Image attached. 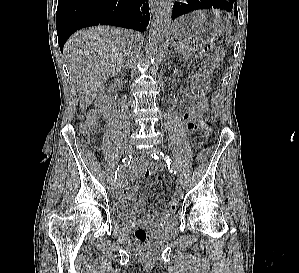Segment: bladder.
Segmentation results:
<instances>
[{
	"label": "bladder",
	"mask_w": 299,
	"mask_h": 273,
	"mask_svg": "<svg viewBox=\"0 0 299 273\" xmlns=\"http://www.w3.org/2000/svg\"><path fill=\"white\" fill-rule=\"evenodd\" d=\"M136 219V216L131 214H124L118 210L113 211V223L119 227H126L132 222H134ZM164 223L167 225H174L175 224V218L173 216L164 219Z\"/></svg>",
	"instance_id": "1"
}]
</instances>
